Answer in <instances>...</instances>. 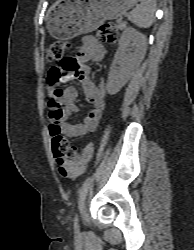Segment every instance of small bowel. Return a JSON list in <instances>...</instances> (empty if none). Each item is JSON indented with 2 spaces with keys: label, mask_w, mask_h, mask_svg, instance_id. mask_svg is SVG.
Returning a JSON list of instances; mask_svg holds the SVG:
<instances>
[{
  "label": "small bowel",
  "mask_w": 194,
  "mask_h": 250,
  "mask_svg": "<svg viewBox=\"0 0 194 250\" xmlns=\"http://www.w3.org/2000/svg\"><path fill=\"white\" fill-rule=\"evenodd\" d=\"M104 57V46L95 37L86 36L75 58H65L59 65L52 68V70L60 73L65 80L77 79L80 82L91 108L87 111L82 122L75 124L67 122V119L77 112L75 101L78 91L74 86L66 87L59 99L54 98L50 101L51 135L60 133L68 138H76L91 134L96 130L105 107L108 88L104 80H101L99 84L92 81L90 67L87 63L100 62ZM52 92L53 88H51ZM58 101H62L63 106H58ZM93 153V144H85L78 157L67 163L70 173L64 177L77 178L82 175L92 159Z\"/></svg>",
  "instance_id": "1"
}]
</instances>
